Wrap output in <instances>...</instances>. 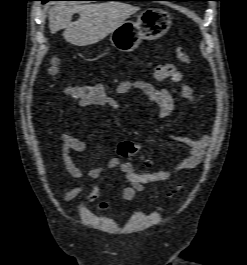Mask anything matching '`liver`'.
Instances as JSON below:
<instances>
[{
	"instance_id": "obj_1",
	"label": "liver",
	"mask_w": 247,
	"mask_h": 265,
	"mask_svg": "<svg viewBox=\"0 0 247 265\" xmlns=\"http://www.w3.org/2000/svg\"><path fill=\"white\" fill-rule=\"evenodd\" d=\"M138 10V7L120 2L95 4L57 2L48 13L49 28L52 34L65 29L63 37L68 43L88 46L111 34ZM75 13L80 17L72 22Z\"/></svg>"
}]
</instances>
